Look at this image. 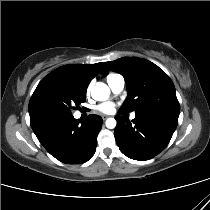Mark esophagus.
I'll return each mask as SVG.
<instances>
[{
	"instance_id": "1",
	"label": "esophagus",
	"mask_w": 210,
	"mask_h": 210,
	"mask_svg": "<svg viewBox=\"0 0 210 210\" xmlns=\"http://www.w3.org/2000/svg\"><path fill=\"white\" fill-rule=\"evenodd\" d=\"M109 116L108 115H102V119L106 120Z\"/></svg>"
}]
</instances>
